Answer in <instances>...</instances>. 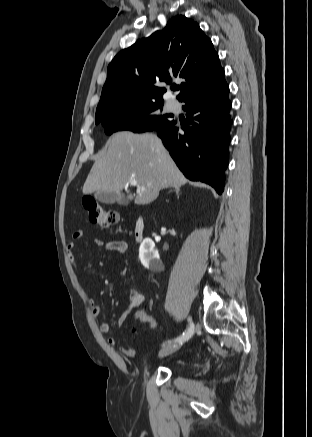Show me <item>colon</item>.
<instances>
[{
	"label": "colon",
	"mask_w": 312,
	"mask_h": 437,
	"mask_svg": "<svg viewBox=\"0 0 312 437\" xmlns=\"http://www.w3.org/2000/svg\"><path fill=\"white\" fill-rule=\"evenodd\" d=\"M82 207L86 211L90 222L97 224L101 227H109L111 225H114L118 221V215L115 211L107 209L104 205H102L93 197H83ZM135 318L149 324L151 329H156L157 327L156 319L143 309L136 312Z\"/></svg>",
	"instance_id": "obj_1"
}]
</instances>
